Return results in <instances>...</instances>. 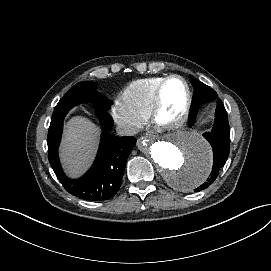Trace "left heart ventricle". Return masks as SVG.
Returning a JSON list of instances; mask_svg holds the SVG:
<instances>
[{
    "label": "left heart ventricle",
    "mask_w": 271,
    "mask_h": 271,
    "mask_svg": "<svg viewBox=\"0 0 271 271\" xmlns=\"http://www.w3.org/2000/svg\"><path fill=\"white\" fill-rule=\"evenodd\" d=\"M187 98L185 84L174 79L168 83L164 92L165 113L168 116L176 114L184 105Z\"/></svg>",
    "instance_id": "1"
}]
</instances>
